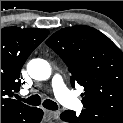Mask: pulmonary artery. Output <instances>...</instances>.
Returning <instances> with one entry per match:
<instances>
[{"instance_id": "obj_1", "label": "pulmonary artery", "mask_w": 123, "mask_h": 123, "mask_svg": "<svg viewBox=\"0 0 123 123\" xmlns=\"http://www.w3.org/2000/svg\"><path fill=\"white\" fill-rule=\"evenodd\" d=\"M51 86L55 97L65 106L78 109L80 101L67 89L60 75H53L51 78Z\"/></svg>"}]
</instances>
